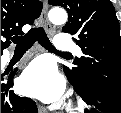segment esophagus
Segmentation results:
<instances>
[{
	"label": "esophagus",
	"mask_w": 121,
	"mask_h": 113,
	"mask_svg": "<svg viewBox=\"0 0 121 113\" xmlns=\"http://www.w3.org/2000/svg\"><path fill=\"white\" fill-rule=\"evenodd\" d=\"M47 14H48V3L47 1L45 0L44 3H43V9H42V13L40 15V21L41 23L44 25V27L46 29H49L51 28V25L48 21V17H47ZM38 110L42 113V112H45V108L44 107H39Z\"/></svg>",
	"instance_id": "esophagus-1"
}]
</instances>
